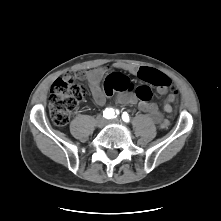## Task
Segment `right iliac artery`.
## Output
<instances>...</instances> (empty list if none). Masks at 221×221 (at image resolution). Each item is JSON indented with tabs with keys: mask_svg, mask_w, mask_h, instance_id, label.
<instances>
[{
	"mask_svg": "<svg viewBox=\"0 0 221 221\" xmlns=\"http://www.w3.org/2000/svg\"><path fill=\"white\" fill-rule=\"evenodd\" d=\"M118 114V111H114V109L112 108H107L105 109V111H103V117H105L106 119H113V118H116Z\"/></svg>",
	"mask_w": 221,
	"mask_h": 221,
	"instance_id": "right-iliac-artery-1",
	"label": "right iliac artery"
}]
</instances>
